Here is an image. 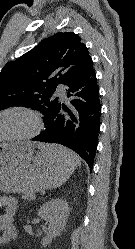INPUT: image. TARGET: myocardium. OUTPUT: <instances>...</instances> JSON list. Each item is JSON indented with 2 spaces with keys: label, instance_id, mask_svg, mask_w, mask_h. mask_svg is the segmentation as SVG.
Listing matches in <instances>:
<instances>
[{
  "label": "myocardium",
  "instance_id": "f54148a6",
  "mask_svg": "<svg viewBox=\"0 0 135 249\" xmlns=\"http://www.w3.org/2000/svg\"><path fill=\"white\" fill-rule=\"evenodd\" d=\"M12 113H18L27 116L31 122V128L29 131L22 134H15L11 136L1 137L0 143L9 142V141L31 140L40 133L42 129V119L40 114L36 110L23 105H12L1 109L0 117Z\"/></svg>",
  "mask_w": 135,
  "mask_h": 249
}]
</instances>
